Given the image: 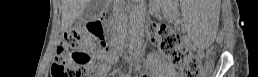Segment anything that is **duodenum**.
Instances as JSON below:
<instances>
[{"label":"duodenum","mask_w":258,"mask_h":77,"mask_svg":"<svg viewBox=\"0 0 258 77\" xmlns=\"http://www.w3.org/2000/svg\"><path fill=\"white\" fill-rule=\"evenodd\" d=\"M101 24L99 22H90L89 23V30L90 32H95L98 28H100ZM120 48H123V42L122 39H119L116 43Z\"/></svg>","instance_id":"obj_1"}]
</instances>
